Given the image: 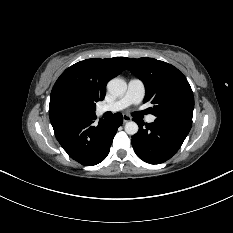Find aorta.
<instances>
[{"instance_id":"aorta-1","label":"aorta","mask_w":233,"mask_h":233,"mask_svg":"<svg viewBox=\"0 0 233 233\" xmlns=\"http://www.w3.org/2000/svg\"><path fill=\"white\" fill-rule=\"evenodd\" d=\"M107 89L114 96H122L127 90V83L123 79L113 78L108 82ZM138 130V124L134 121L125 124V132L129 135H135Z\"/></svg>"}]
</instances>
